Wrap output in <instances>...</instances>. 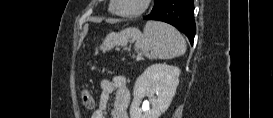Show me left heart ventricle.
<instances>
[{
    "label": "left heart ventricle",
    "instance_id": "b2bd125f",
    "mask_svg": "<svg viewBox=\"0 0 273 118\" xmlns=\"http://www.w3.org/2000/svg\"><path fill=\"white\" fill-rule=\"evenodd\" d=\"M143 4V0H118L117 10L121 12H133L138 10Z\"/></svg>",
    "mask_w": 273,
    "mask_h": 118
}]
</instances>
